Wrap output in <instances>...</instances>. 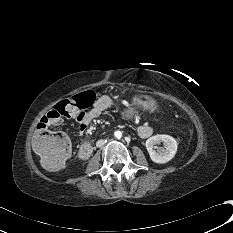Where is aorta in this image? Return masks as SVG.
I'll use <instances>...</instances> for the list:
<instances>
[{
  "instance_id": "obj_1",
  "label": "aorta",
  "mask_w": 233,
  "mask_h": 233,
  "mask_svg": "<svg viewBox=\"0 0 233 233\" xmlns=\"http://www.w3.org/2000/svg\"><path fill=\"white\" fill-rule=\"evenodd\" d=\"M114 136H115L116 138L120 139L121 136H122V133H121L120 131H115Z\"/></svg>"
}]
</instances>
